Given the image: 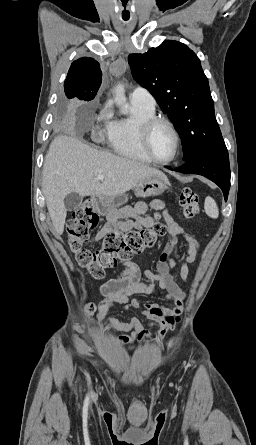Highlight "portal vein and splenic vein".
Segmentation results:
<instances>
[{"label":"portal vein and splenic vein","mask_w":256,"mask_h":445,"mask_svg":"<svg viewBox=\"0 0 256 445\" xmlns=\"http://www.w3.org/2000/svg\"><path fill=\"white\" fill-rule=\"evenodd\" d=\"M105 177H104V175H99L97 178H96V180L97 181H100V180H103Z\"/></svg>","instance_id":"portal-vein-and-splenic-vein-1"}]
</instances>
